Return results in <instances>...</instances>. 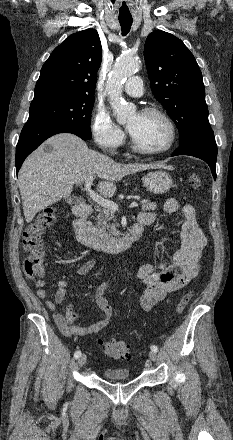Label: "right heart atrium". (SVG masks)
Instances as JSON below:
<instances>
[{"label": "right heart atrium", "mask_w": 233, "mask_h": 440, "mask_svg": "<svg viewBox=\"0 0 233 440\" xmlns=\"http://www.w3.org/2000/svg\"><path fill=\"white\" fill-rule=\"evenodd\" d=\"M91 133L97 145L110 153L115 152L125 141L124 131L103 108L93 111Z\"/></svg>", "instance_id": "right-heart-atrium-1"}]
</instances>
